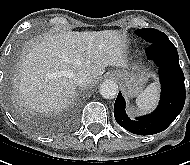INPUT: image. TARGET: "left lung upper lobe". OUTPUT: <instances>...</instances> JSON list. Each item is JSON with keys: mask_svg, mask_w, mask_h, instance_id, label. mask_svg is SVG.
Here are the masks:
<instances>
[{"mask_svg": "<svg viewBox=\"0 0 190 165\" xmlns=\"http://www.w3.org/2000/svg\"><path fill=\"white\" fill-rule=\"evenodd\" d=\"M135 33L140 36L141 38L145 39V41L150 45L153 44L161 39L168 38L166 34L163 32L153 29V28H143L138 29Z\"/></svg>", "mask_w": 190, "mask_h": 165, "instance_id": "left-lung-upper-lobe-1", "label": "left lung upper lobe"}]
</instances>
